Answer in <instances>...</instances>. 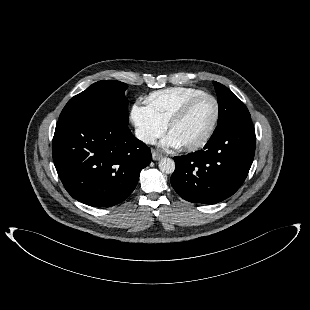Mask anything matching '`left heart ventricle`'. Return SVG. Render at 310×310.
<instances>
[{
  "label": "left heart ventricle",
  "instance_id": "1",
  "mask_svg": "<svg viewBox=\"0 0 310 310\" xmlns=\"http://www.w3.org/2000/svg\"><path fill=\"white\" fill-rule=\"evenodd\" d=\"M215 113L214 102L202 99L191 108L186 117L173 127V133L181 145L196 142L208 130Z\"/></svg>",
  "mask_w": 310,
  "mask_h": 310
}]
</instances>
